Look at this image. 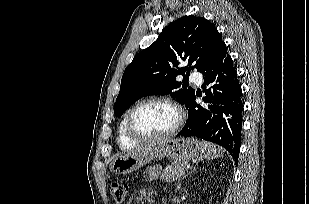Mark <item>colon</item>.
I'll use <instances>...</instances> for the list:
<instances>
[{
    "label": "colon",
    "mask_w": 309,
    "mask_h": 204,
    "mask_svg": "<svg viewBox=\"0 0 309 204\" xmlns=\"http://www.w3.org/2000/svg\"><path fill=\"white\" fill-rule=\"evenodd\" d=\"M110 194L115 204H122L127 194V185L121 182H113L110 185Z\"/></svg>",
    "instance_id": "colon-1"
}]
</instances>
